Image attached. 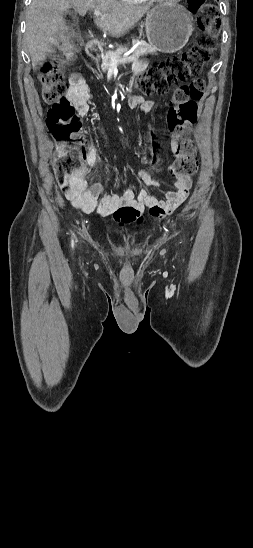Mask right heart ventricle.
I'll return each mask as SVG.
<instances>
[{
  "instance_id": "1",
  "label": "right heart ventricle",
  "mask_w": 253,
  "mask_h": 548,
  "mask_svg": "<svg viewBox=\"0 0 253 548\" xmlns=\"http://www.w3.org/2000/svg\"><path fill=\"white\" fill-rule=\"evenodd\" d=\"M120 1L128 4H141L146 2L147 0H120Z\"/></svg>"
}]
</instances>
